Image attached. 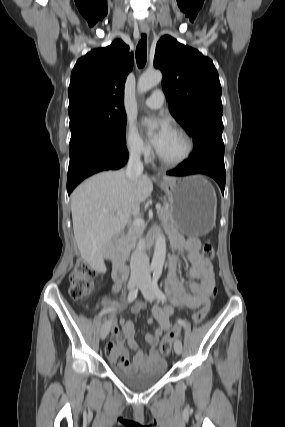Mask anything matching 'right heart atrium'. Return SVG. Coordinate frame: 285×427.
Instances as JSON below:
<instances>
[{"label": "right heart atrium", "instance_id": "obj_1", "mask_svg": "<svg viewBox=\"0 0 285 427\" xmlns=\"http://www.w3.org/2000/svg\"><path fill=\"white\" fill-rule=\"evenodd\" d=\"M124 143L128 153L136 158L148 159L151 149L146 144L136 126L128 123L125 129Z\"/></svg>", "mask_w": 285, "mask_h": 427}]
</instances>
